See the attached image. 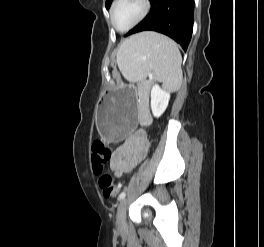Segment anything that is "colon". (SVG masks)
Segmentation results:
<instances>
[{
  "instance_id": "obj_1",
  "label": "colon",
  "mask_w": 264,
  "mask_h": 247,
  "mask_svg": "<svg viewBox=\"0 0 264 247\" xmlns=\"http://www.w3.org/2000/svg\"><path fill=\"white\" fill-rule=\"evenodd\" d=\"M112 156L111 149L102 141H96L92 145V167L95 174L100 175L99 187L105 197H115L119 192V186L108 174H102L105 166Z\"/></svg>"
}]
</instances>
